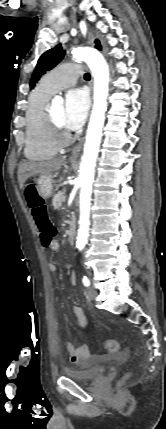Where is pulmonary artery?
Returning <instances> with one entry per match:
<instances>
[{
	"instance_id": "pulmonary-artery-1",
	"label": "pulmonary artery",
	"mask_w": 166,
	"mask_h": 429,
	"mask_svg": "<svg viewBox=\"0 0 166 429\" xmlns=\"http://www.w3.org/2000/svg\"><path fill=\"white\" fill-rule=\"evenodd\" d=\"M82 74L83 66L80 63L64 64L47 74L40 82V87L55 93L74 84Z\"/></svg>"
}]
</instances>
